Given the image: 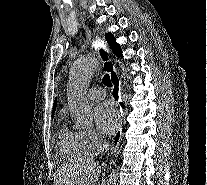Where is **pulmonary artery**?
<instances>
[{"mask_svg": "<svg viewBox=\"0 0 207 185\" xmlns=\"http://www.w3.org/2000/svg\"><path fill=\"white\" fill-rule=\"evenodd\" d=\"M88 96L92 100H100L106 96V92L102 88H92L89 90Z\"/></svg>", "mask_w": 207, "mask_h": 185, "instance_id": "e3ab8cb5", "label": "pulmonary artery"}]
</instances>
